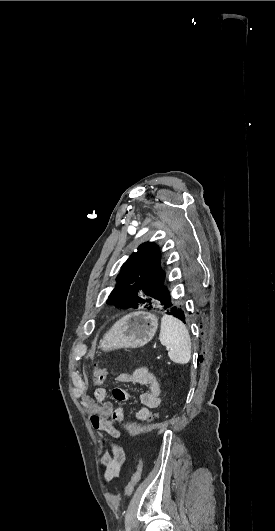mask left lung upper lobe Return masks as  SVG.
<instances>
[{"label": "left lung upper lobe", "mask_w": 275, "mask_h": 531, "mask_svg": "<svg viewBox=\"0 0 275 531\" xmlns=\"http://www.w3.org/2000/svg\"><path fill=\"white\" fill-rule=\"evenodd\" d=\"M160 263L157 245L151 242L140 245L123 264L107 303L118 308H152L157 304L168 307L171 299L163 286L165 273Z\"/></svg>", "instance_id": "5c2ea615"}]
</instances>
